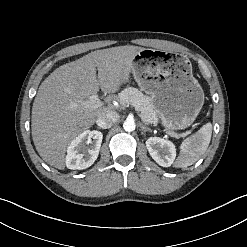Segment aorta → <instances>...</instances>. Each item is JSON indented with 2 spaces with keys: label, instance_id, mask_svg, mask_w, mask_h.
I'll return each instance as SVG.
<instances>
[{
  "label": "aorta",
  "instance_id": "762f6f07",
  "mask_svg": "<svg viewBox=\"0 0 247 247\" xmlns=\"http://www.w3.org/2000/svg\"><path fill=\"white\" fill-rule=\"evenodd\" d=\"M135 122L133 120H126L124 123H123V128L125 131L127 132H132L135 130Z\"/></svg>",
  "mask_w": 247,
  "mask_h": 247
}]
</instances>
